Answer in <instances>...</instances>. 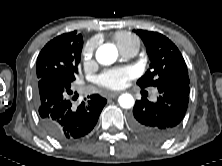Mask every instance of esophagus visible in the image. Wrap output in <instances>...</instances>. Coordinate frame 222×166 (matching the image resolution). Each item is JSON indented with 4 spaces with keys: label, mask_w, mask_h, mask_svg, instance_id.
<instances>
[{
    "label": "esophagus",
    "mask_w": 222,
    "mask_h": 166,
    "mask_svg": "<svg viewBox=\"0 0 222 166\" xmlns=\"http://www.w3.org/2000/svg\"><path fill=\"white\" fill-rule=\"evenodd\" d=\"M119 94H121V92H112V93H109L107 95L108 98H115L117 97Z\"/></svg>",
    "instance_id": "1"
}]
</instances>
